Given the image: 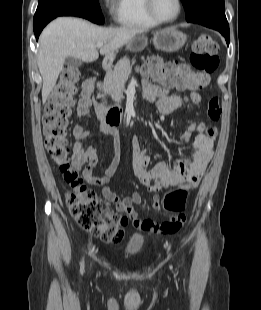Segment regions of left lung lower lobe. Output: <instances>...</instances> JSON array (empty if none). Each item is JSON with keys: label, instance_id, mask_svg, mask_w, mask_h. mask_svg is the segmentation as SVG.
<instances>
[{"label": "left lung lower lobe", "instance_id": "left-lung-lower-lobe-1", "mask_svg": "<svg viewBox=\"0 0 261 310\" xmlns=\"http://www.w3.org/2000/svg\"><path fill=\"white\" fill-rule=\"evenodd\" d=\"M200 24L219 31L225 37V40H226L227 44L229 45L230 31H229L228 23L227 24H221V23H215V22H211V21H202Z\"/></svg>", "mask_w": 261, "mask_h": 310}]
</instances>
